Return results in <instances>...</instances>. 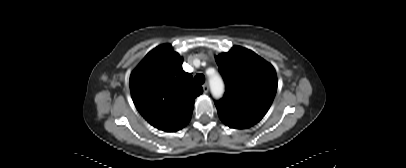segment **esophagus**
<instances>
[{"mask_svg": "<svg viewBox=\"0 0 406 168\" xmlns=\"http://www.w3.org/2000/svg\"><path fill=\"white\" fill-rule=\"evenodd\" d=\"M208 90H209V85H208V83H205V84L203 85V91H204V93H207Z\"/></svg>", "mask_w": 406, "mask_h": 168, "instance_id": "34e87169", "label": "esophagus"}]
</instances>
